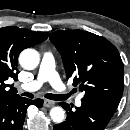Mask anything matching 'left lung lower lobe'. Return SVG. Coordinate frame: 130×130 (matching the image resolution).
I'll use <instances>...</instances> for the list:
<instances>
[{"mask_svg": "<svg viewBox=\"0 0 130 130\" xmlns=\"http://www.w3.org/2000/svg\"><path fill=\"white\" fill-rule=\"evenodd\" d=\"M81 101L82 105L75 107V111L65 102L59 103L67 111V118L54 125L53 130H103L116 111L99 101L83 98Z\"/></svg>", "mask_w": 130, "mask_h": 130, "instance_id": "1", "label": "left lung lower lobe"}]
</instances>
